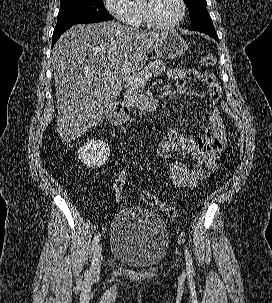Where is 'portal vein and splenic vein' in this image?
<instances>
[{
  "label": "portal vein and splenic vein",
  "mask_w": 272,
  "mask_h": 303,
  "mask_svg": "<svg viewBox=\"0 0 272 303\" xmlns=\"http://www.w3.org/2000/svg\"><path fill=\"white\" fill-rule=\"evenodd\" d=\"M152 76V72H147L144 75L141 76H128L124 78V81L127 83V85H145L146 81ZM105 80H108V78H105Z\"/></svg>",
  "instance_id": "1"
}]
</instances>
